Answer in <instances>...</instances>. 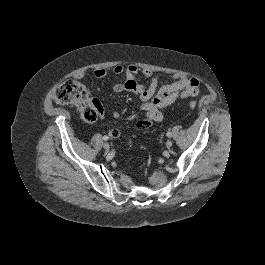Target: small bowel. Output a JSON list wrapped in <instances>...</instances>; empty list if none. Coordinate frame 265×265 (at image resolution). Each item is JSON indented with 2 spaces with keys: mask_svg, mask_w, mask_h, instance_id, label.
Listing matches in <instances>:
<instances>
[{
  "mask_svg": "<svg viewBox=\"0 0 265 265\" xmlns=\"http://www.w3.org/2000/svg\"><path fill=\"white\" fill-rule=\"evenodd\" d=\"M113 72L116 75H124L126 78L125 81L114 84L113 91L115 93L131 91L139 99L140 109L145 114L144 118L139 119L136 114L125 117L128 121H136L138 129H146L152 123L161 121L163 119V109L173 104L178 98L195 97L199 92V81L194 77L183 74H175L172 83L159 86L158 77L151 70L140 69L134 64L127 66L117 65L114 67ZM140 72L150 80L148 86H144L137 81V75ZM93 75L101 79L106 77L108 72L104 68H98L94 70ZM84 77V73H78L75 76L76 79H83ZM96 101L100 104L98 100ZM101 110L103 112L102 106ZM112 116L120 118L122 114L119 111H114ZM110 135L113 138H118L120 131L113 129Z\"/></svg>",
  "mask_w": 265,
  "mask_h": 265,
  "instance_id": "1",
  "label": "small bowel"
}]
</instances>
